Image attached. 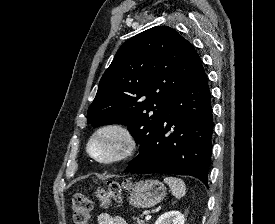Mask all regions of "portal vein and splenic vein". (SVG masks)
<instances>
[{"label":"portal vein and splenic vein","instance_id":"18ae733b","mask_svg":"<svg viewBox=\"0 0 275 224\" xmlns=\"http://www.w3.org/2000/svg\"><path fill=\"white\" fill-rule=\"evenodd\" d=\"M145 219H146V220H150V219H151V215H146V216H145Z\"/></svg>","mask_w":275,"mask_h":224}]
</instances>
